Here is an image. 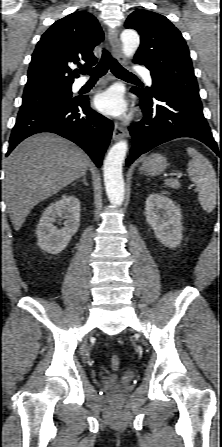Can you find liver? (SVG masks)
<instances>
[{
    "mask_svg": "<svg viewBox=\"0 0 222 447\" xmlns=\"http://www.w3.org/2000/svg\"><path fill=\"white\" fill-rule=\"evenodd\" d=\"M91 161L72 142L50 133L21 142L5 162L3 190L13 227L18 231L39 202L86 174Z\"/></svg>",
    "mask_w": 222,
    "mask_h": 447,
    "instance_id": "1",
    "label": "liver"
}]
</instances>
